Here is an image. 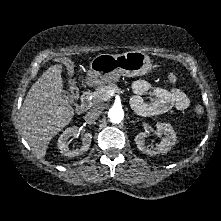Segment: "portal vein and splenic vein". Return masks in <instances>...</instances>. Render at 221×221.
Returning <instances> with one entry per match:
<instances>
[{
	"instance_id": "portal-vein-and-splenic-vein-1",
	"label": "portal vein and splenic vein",
	"mask_w": 221,
	"mask_h": 221,
	"mask_svg": "<svg viewBox=\"0 0 221 221\" xmlns=\"http://www.w3.org/2000/svg\"><path fill=\"white\" fill-rule=\"evenodd\" d=\"M115 95V92L113 90L108 91V96L112 97Z\"/></svg>"
}]
</instances>
